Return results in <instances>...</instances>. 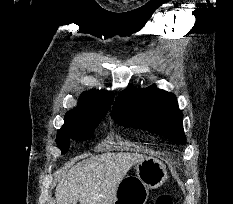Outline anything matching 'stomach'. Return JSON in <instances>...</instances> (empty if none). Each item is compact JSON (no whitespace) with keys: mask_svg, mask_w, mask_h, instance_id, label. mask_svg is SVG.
<instances>
[{"mask_svg":"<svg viewBox=\"0 0 233 204\" xmlns=\"http://www.w3.org/2000/svg\"><path fill=\"white\" fill-rule=\"evenodd\" d=\"M135 169L137 176L120 182L112 204H146L149 189L162 186L167 179L166 166L153 157H145L136 163Z\"/></svg>","mask_w":233,"mask_h":204,"instance_id":"1","label":"stomach"}]
</instances>
